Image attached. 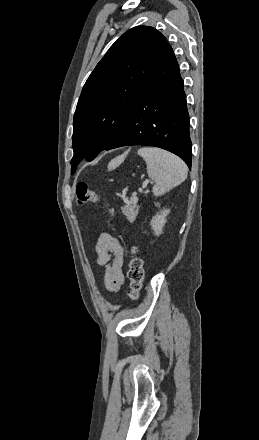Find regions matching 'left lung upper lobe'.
Returning a JSON list of instances; mask_svg holds the SVG:
<instances>
[{"label":"left lung upper lobe","mask_w":259,"mask_h":440,"mask_svg":"<svg viewBox=\"0 0 259 440\" xmlns=\"http://www.w3.org/2000/svg\"><path fill=\"white\" fill-rule=\"evenodd\" d=\"M166 43L156 29L137 26L110 47L87 79L76 107L72 164L84 156L93 160L115 139Z\"/></svg>","instance_id":"5c2ea615"}]
</instances>
